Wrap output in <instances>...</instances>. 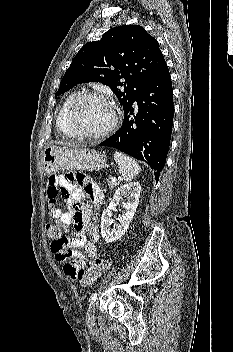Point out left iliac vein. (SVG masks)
I'll use <instances>...</instances> for the list:
<instances>
[{"label": "left iliac vein", "instance_id": "obj_1", "mask_svg": "<svg viewBox=\"0 0 233 352\" xmlns=\"http://www.w3.org/2000/svg\"><path fill=\"white\" fill-rule=\"evenodd\" d=\"M94 313H95V304L91 303L88 311H87V322L92 323L94 319Z\"/></svg>", "mask_w": 233, "mask_h": 352}]
</instances>
